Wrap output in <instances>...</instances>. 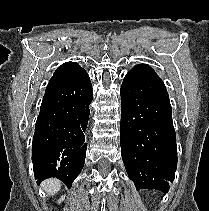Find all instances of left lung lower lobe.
<instances>
[{"label": "left lung lower lobe", "mask_w": 209, "mask_h": 211, "mask_svg": "<svg viewBox=\"0 0 209 211\" xmlns=\"http://www.w3.org/2000/svg\"><path fill=\"white\" fill-rule=\"evenodd\" d=\"M120 143L137 190L167 193L177 167L172 109L163 81L146 64L135 65L121 86Z\"/></svg>", "instance_id": "obj_1"}]
</instances>
